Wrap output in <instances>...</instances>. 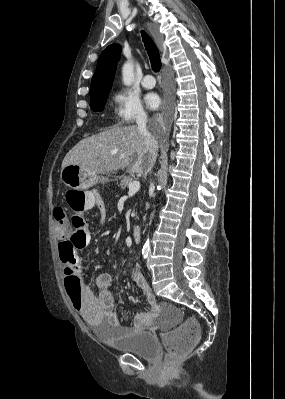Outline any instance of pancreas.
<instances>
[{"mask_svg":"<svg viewBox=\"0 0 285 399\" xmlns=\"http://www.w3.org/2000/svg\"><path fill=\"white\" fill-rule=\"evenodd\" d=\"M132 177L130 176H126V175H122L119 177V182L118 185L122 188L125 189L126 187L129 186V184L132 182Z\"/></svg>","mask_w":285,"mask_h":399,"instance_id":"pancreas-1","label":"pancreas"}]
</instances>
